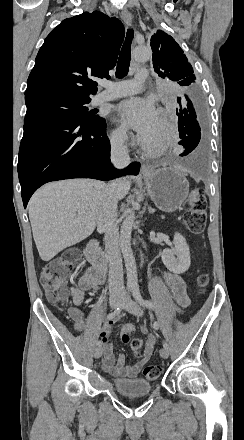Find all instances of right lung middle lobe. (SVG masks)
<instances>
[{
	"label": "right lung middle lobe",
	"instance_id": "obj_1",
	"mask_svg": "<svg viewBox=\"0 0 244 440\" xmlns=\"http://www.w3.org/2000/svg\"><path fill=\"white\" fill-rule=\"evenodd\" d=\"M90 101V98H73L55 95L25 99L27 111L33 109L51 110L88 123L96 119L91 112H88L86 104Z\"/></svg>",
	"mask_w": 244,
	"mask_h": 440
}]
</instances>
